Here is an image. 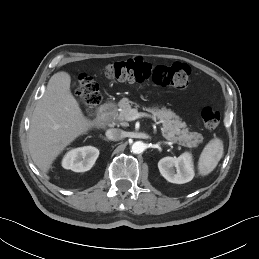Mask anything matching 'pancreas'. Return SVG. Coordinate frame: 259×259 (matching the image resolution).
<instances>
[{
  "instance_id": "pancreas-1",
  "label": "pancreas",
  "mask_w": 259,
  "mask_h": 259,
  "mask_svg": "<svg viewBox=\"0 0 259 259\" xmlns=\"http://www.w3.org/2000/svg\"><path fill=\"white\" fill-rule=\"evenodd\" d=\"M132 105H135L136 108L138 107V104L130 101L128 98H122L118 102V107L121 111L112 113L113 117L120 121L122 126L127 125L124 121L127 114L132 109ZM144 109L159 119L163 125L162 135L168 141L178 143L185 147H197L203 142V136L197 132H189L188 128H186V123L182 122L181 118L171 109H167L166 107H148Z\"/></svg>"
}]
</instances>
